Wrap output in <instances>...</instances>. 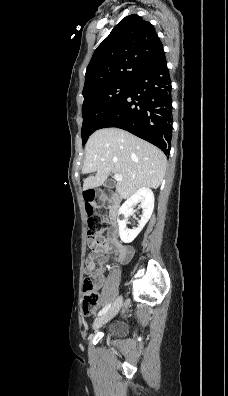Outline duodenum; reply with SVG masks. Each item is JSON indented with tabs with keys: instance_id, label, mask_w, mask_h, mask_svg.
<instances>
[{
	"instance_id": "obj_1",
	"label": "duodenum",
	"mask_w": 228,
	"mask_h": 396,
	"mask_svg": "<svg viewBox=\"0 0 228 396\" xmlns=\"http://www.w3.org/2000/svg\"><path fill=\"white\" fill-rule=\"evenodd\" d=\"M120 203H121L120 199H115L111 205V208H110V218H111L112 224H114V225L117 224Z\"/></svg>"
}]
</instances>
